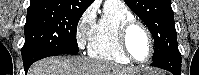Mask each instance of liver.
<instances>
[{"label": "liver", "mask_w": 199, "mask_h": 75, "mask_svg": "<svg viewBox=\"0 0 199 75\" xmlns=\"http://www.w3.org/2000/svg\"><path fill=\"white\" fill-rule=\"evenodd\" d=\"M134 68L85 57H50L34 63L27 75H134Z\"/></svg>", "instance_id": "obj_1"}]
</instances>
